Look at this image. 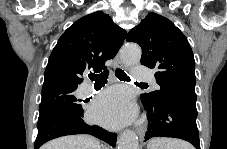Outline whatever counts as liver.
I'll return each instance as SVG.
<instances>
[{"mask_svg":"<svg viewBox=\"0 0 227 149\" xmlns=\"http://www.w3.org/2000/svg\"><path fill=\"white\" fill-rule=\"evenodd\" d=\"M41 149H101V146L89 135H69L49 141Z\"/></svg>","mask_w":227,"mask_h":149,"instance_id":"obj_1","label":"liver"}]
</instances>
